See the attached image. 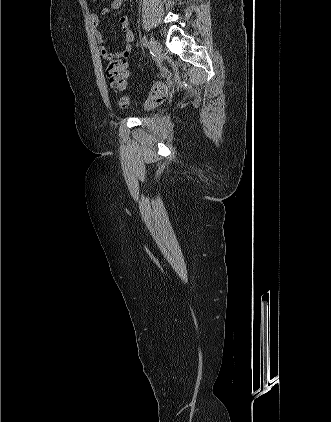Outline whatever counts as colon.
Listing matches in <instances>:
<instances>
[{"instance_id":"obj_1","label":"colon","mask_w":331,"mask_h":422,"mask_svg":"<svg viewBox=\"0 0 331 422\" xmlns=\"http://www.w3.org/2000/svg\"><path fill=\"white\" fill-rule=\"evenodd\" d=\"M106 76L111 88L117 92H123L128 86V71L126 61L123 59H113L108 61L106 66ZM161 80L157 81L151 90L150 98L147 102V106H153L161 103L165 99L166 85L163 82L167 77V73L164 70L160 71ZM128 97L122 96L120 98V105L126 106L128 104Z\"/></svg>"}]
</instances>
